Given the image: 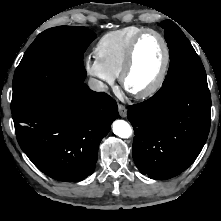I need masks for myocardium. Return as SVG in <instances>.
Instances as JSON below:
<instances>
[{
	"mask_svg": "<svg viewBox=\"0 0 221 221\" xmlns=\"http://www.w3.org/2000/svg\"><path fill=\"white\" fill-rule=\"evenodd\" d=\"M148 34H153L156 37H158V39L160 40L163 46L164 58H163L162 66H161V69L159 71L157 78L148 88L139 92H131L130 90H128L126 86L127 77L134 64L137 45L140 42V40L145 35H148ZM169 65H170V49H169V45L165 37L159 31L155 29L146 28V29H143L141 32H139L130 42L126 55H125V60H124L121 72L119 74V80H120L122 87L126 91H128L129 93H131L132 95H134L135 97L139 99H145L157 93L159 89L162 87L166 79L167 73H168Z\"/></svg>",
	"mask_w": 221,
	"mask_h": 221,
	"instance_id": "f54148a6",
	"label": "myocardium"
}]
</instances>
